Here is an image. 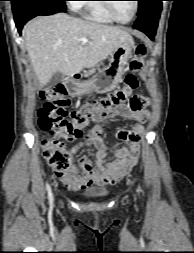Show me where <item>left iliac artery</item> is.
Listing matches in <instances>:
<instances>
[{
    "mask_svg": "<svg viewBox=\"0 0 194 253\" xmlns=\"http://www.w3.org/2000/svg\"><path fill=\"white\" fill-rule=\"evenodd\" d=\"M137 191L139 192V191H140V189L138 188V189H137Z\"/></svg>",
    "mask_w": 194,
    "mask_h": 253,
    "instance_id": "44dca946",
    "label": "left iliac artery"
}]
</instances>
